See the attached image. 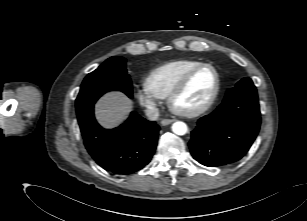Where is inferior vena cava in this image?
<instances>
[{"label": "inferior vena cava", "instance_id": "1", "mask_svg": "<svg viewBox=\"0 0 307 221\" xmlns=\"http://www.w3.org/2000/svg\"><path fill=\"white\" fill-rule=\"evenodd\" d=\"M145 112L149 120L155 121L159 117V110L156 107H150Z\"/></svg>", "mask_w": 307, "mask_h": 221}]
</instances>
